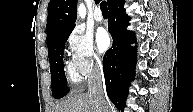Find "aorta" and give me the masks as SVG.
Listing matches in <instances>:
<instances>
[{
  "label": "aorta",
  "instance_id": "obj_1",
  "mask_svg": "<svg viewBox=\"0 0 193 112\" xmlns=\"http://www.w3.org/2000/svg\"><path fill=\"white\" fill-rule=\"evenodd\" d=\"M86 15V9H85V6L83 4H80L78 6V16L81 17V18H84Z\"/></svg>",
  "mask_w": 193,
  "mask_h": 112
}]
</instances>
